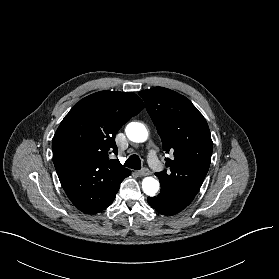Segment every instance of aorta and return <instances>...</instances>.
I'll use <instances>...</instances> for the list:
<instances>
[{
    "instance_id": "obj_1",
    "label": "aorta",
    "mask_w": 279,
    "mask_h": 279,
    "mask_svg": "<svg viewBox=\"0 0 279 279\" xmlns=\"http://www.w3.org/2000/svg\"><path fill=\"white\" fill-rule=\"evenodd\" d=\"M126 135L129 140L137 143L145 142L148 138L147 128L139 122H131L126 126ZM143 192L148 196H154L159 190V182L153 177H146L142 181Z\"/></svg>"
}]
</instances>
